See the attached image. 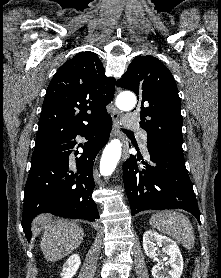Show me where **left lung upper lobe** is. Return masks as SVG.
<instances>
[{
  "instance_id": "1",
  "label": "left lung upper lobe",
  "mask_w": 221,
  "mask_h": 278,
  "mask_svg": "<svg viewBox=\"0 0 221 278\" xmlns=\"http://www.w3.org/2000/svg\"><path fill=\"white\" fill-rule=\"evenodd\" d=\"M117 86L133 91L140 100L141 127L148 142L182 143L181 102L174 78L157 58L138 56Z\"/></svg>"
}]
</instances>
